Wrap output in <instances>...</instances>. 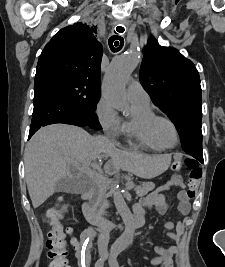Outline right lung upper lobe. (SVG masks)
Returning a JSON list of instances; mask_svg holds the SVG:
<instances>
[{
    "instance_id": "obj_1",
    "label": "right lung upper lobe",
    "mask_w": 225,
    "mask_h": 267,
    "mask_svg": "<svg viewBox=\"0 0 225 267\" xmlns=\"http://www.w3.org/2000/svg\"><path fill=\"white\" fill-rule=\"evenodd\" d=\"M96 29L75 23L61 29L45 46L37 64L35 79L63 75L100 86L103 48L94 36Z\"/></svg>"
}]
</instances>
